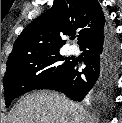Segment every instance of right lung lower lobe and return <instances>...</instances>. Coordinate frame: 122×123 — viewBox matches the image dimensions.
<instances>
[{"instance_id": "1", "label": "right lung lower lobe", "mask_w": 122, "mask_h": 123, "mask_svg": "<svg viewBox=\"0 0 122 123\" xmlns=\"http://www.w3.org/2000/svg\"><path fill=\"white\" fill-rule=\"evenodd\" d=\"M86 67L78 71L79 65L72 61L69 68L59 77L38 89H51L64 93L74 101L91 97L93 101L108 99L117 79L119 48L113 35L104 27L81 44Z\"/></svg>"}]
</instances>
